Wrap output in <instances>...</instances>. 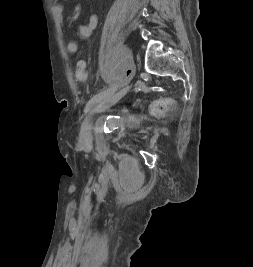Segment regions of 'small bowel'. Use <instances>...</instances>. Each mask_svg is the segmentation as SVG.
<instances>
[{"label":"small bowel","instance_id":"c3829d8e","mask_svg":"<svg viewBox=\"0 0 253 267\" xmlns=\"http://www.w3.org/2000/svg\"><path fill=\"white\" fill-rule=\"evenodd\" d=\"M53 12L57 16L61 26H64L63 22V6L61 4L56 3L53 6ZM98 24V16L95 13H92L89 18L87 23L85 24H79L77 27V33L78 36L81 40H85L89 38L96 28ZM80 46V42L76 40H68L66 42V51L70 54H75L77 53L78 49Z\"/></svg>","mask_w":253,"mask_h":267}]
</instances>
